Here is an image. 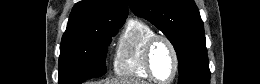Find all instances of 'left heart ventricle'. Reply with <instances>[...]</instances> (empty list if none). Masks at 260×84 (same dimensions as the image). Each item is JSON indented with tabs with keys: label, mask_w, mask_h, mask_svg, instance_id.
Here are the masks:
<instances>
[{
	"label": "left heart ventricle",
	"mask_w": 260,
	"mask_h": 84,
	"mask_svg": "<svg viewBox=\"0 0 260 84\" xmlns=\"http://www.w3.org/2000/svg\"><path fill=\"white\" fill-rule=\"evenodd\" d=\"M153 70L159 80H168L172 73L174 67L173 56L169 46L160 41L154 48L152 56Z\"/></svg>",
	"instance_id": "left-heart-ventricle-1"
}]
</instances>
